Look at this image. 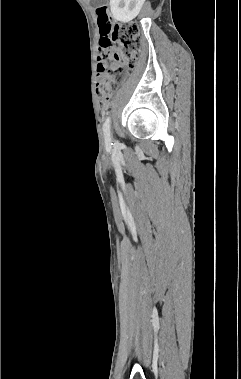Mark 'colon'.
I'll return each instance as SVG.
<instances>
[{
	"instance_id": "1",
	"label": "colon",
	"mask_w": 241,
	"mask_h": 379,
	"mask_svg": "<svg viewBox=\"0 0 241 379\" xmlns=\"http://www.w3.org/2000/svg\"><path fill=\"white\" fill-rule=\"evenodd\" d=\"M98 23L103 37L97 63L96 91L102 103L111 97L118 80L127 68L134 67L140 50L139 27L136 23L111 24L109 7L97 8Z\"/></svg>"
}]
</instances>
